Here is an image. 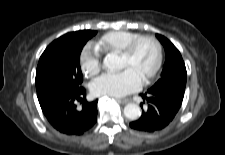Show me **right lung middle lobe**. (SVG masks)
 I'll list each match as a JSON object with an SVG mask.
<instances>
[{"mask_svg": "<svg viewBox=\"0 0 225 155\" xmlns=\"http://www.w3.org/2000/svg\"><path fill=\"white\" fill-rule=\"evenodd\" d=\"M96 34L67 33L53 41L41 55L35 84L39 101L61 89H80L83 75L80 53L86 42Z\"/></svg>", "mask_w": 225, "mask_h": 155, "instance_id": "dd1d6c3e", "label": "right lung middle lobe"}]
</instances>
